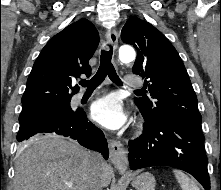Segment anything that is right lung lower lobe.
I'll return each mask as SVG.
<instances>
[{"label": "right lung lower lobe", "mask_w": 221, "mask_h": 190, "mask_svg": "<svg viewBox=\"0 0 221 190\" xmlns=\"http://www.w3.org/2000/svg\"><path fill=\"white\" fill-rule=\"evenodd\" d=\"M38 133H54L76 140L80 145L109 157L107 141L103 132L88 121L86 114L78 109L65 117H50L18 131V142L25 141Z\"/></svg>", "instance_id": "obj_1"}]
</instances>
